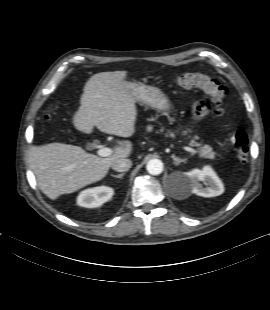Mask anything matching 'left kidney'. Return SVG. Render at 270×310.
I'll return each mask as SVG.
<instances>
[{
    "label": "left kidney",
    "mask_w": 270,
    "mask_h": 310,
    "mask_svg": "<svg viewBox=\"0 0 270 310\" xmlns=\"http://www.w3.org/2000/svg\"><path fill=\"white\" fill-rule=\"evenodd\" d=\"M179 191L184 195L194 193L202 197H215L224 192V185L214 170L205 166L202 170L193 169L184 173Z\"/></svg>",
    "instance_id": "obj_1"
}]
</instances>
